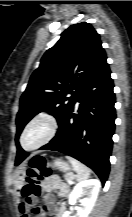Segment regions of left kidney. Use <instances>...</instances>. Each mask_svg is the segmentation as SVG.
Wrapping results in <instances>:
<instances>
[{
    "label": "left kidney",
    "instance_id": "1",
    "mask_svg": "<svg viewBox=\"0 0 132 217\" xmlns=\"http://www.w3.org/2000/svg\"><path fill=\"white\" fill-rule=\"evenodd\" d=\"M100 188L101 183L97 179H89L78 183L69 195V204L74 205L79 200L80 206L75 208L76 213L65 211L62 217H88L96 202Z\"/></svg>",
    "mask_w": 132,
    "mask_h": 217
}]
</instances>
